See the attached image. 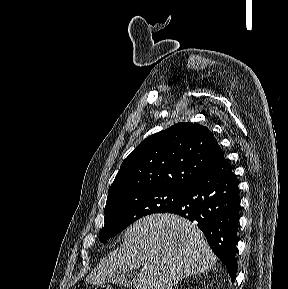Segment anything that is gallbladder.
<instances>
[{
    "label": "gallbladder",
    "mask_w": 288,
    "mask_h": 289,
    "mask_svg": "<svg viewBox=\"0 0 288 289\" xmlns=\"http://www.w3.org/2000/svg\"><path fill=\"white\" fill-rule=\"evenodd\" d=\"M108 282L118 285H127V278L123 272H117V274L114 275Z\"/></svg>",
    "instance_id": "gallbladder-1"
}]
</instances>
